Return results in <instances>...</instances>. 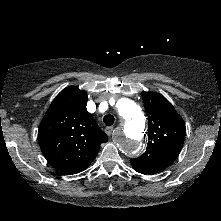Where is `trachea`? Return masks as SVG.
Wrapping results in <instances>:
<instances>
[{
  "mask_svg": "<svg viewBox=\"0 0 221 221\" xmlns=\"http://www.w3.org/2000/svg\"><path fill=\"white\" fill-rule=\"evenodd\" d=\"M103 121L107 126H111L114 124L115 118L113 115H106L104 116Z\"/></svg>",
  "mask_w": 221,
  "mask_h": 221,
  "instance_id": "1",
  "label": "trachea"
}]
</instances>
